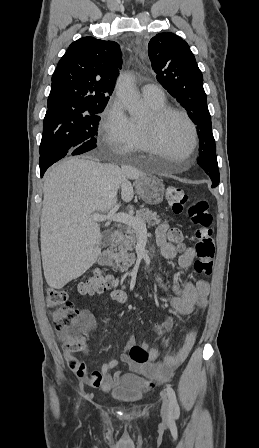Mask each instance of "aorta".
Wrapping results in <instances>:
<instances>
[{"label":"aorta","instance_id":"obj_1","mask_svg":"<svg viewBox=\"0 0 259 448\" xmlns=\"http://www.w3.org/2000/svg\"><path fill=\"white\" fill-rule=\"evenodd\" d=\"M115 90L117 98L121 101L128 113L133 118H137L144 108L135 87L133 77L128 73L120 74L116 81Z\"/></svg>","mask_w":259,"mask_h":448}]
</instances>
